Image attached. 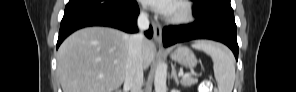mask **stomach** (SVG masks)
Returning a JSON list of instances; mask_svg holds the SVG:
<instances>
[{
    "label": "stomach",
    "mask_w": 296,
    "mask_h": 92,
    "mask_svg": "<svg viewBox=\"0 0 296 92\" xmlns=\"http://www.w3.org/2000/svg\"><path fill=\"white\" fill-rule=\"evenodd\" d=\"M170 57L173 61L189 69H193L197 65V59L194 53L185 46L177 47L171 52Z\"/></svg>",
    "instance_id": "1"
}]
</instances>
